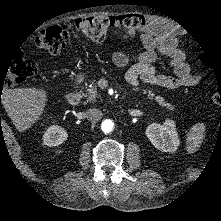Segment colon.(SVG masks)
<instances>
[{
    "mask_svg": "<svg viewBox=\"0 0 221 221\" xmlns=\"http://www.w3.org/2000/svg\"><path fill=\"white\" fill-rule=\"evenodd\" d=\"M147 25V20L139 14L124 16H90L66 22L43 30L35 41L39 49L50 54H59L66 46L70 33L87 37L92 42H101L116 31L130 35L136 34ZM204 61L203 57L200 58ZM38 74V65L31 59L20 57L9 68L8 85L14 86L34 78Z\"/></svg>",
    "mask_w": 221,
    "mask_h": 221,
    "instance_id": "5ec220e1",
    "label": "colon"
}]
</instances>
